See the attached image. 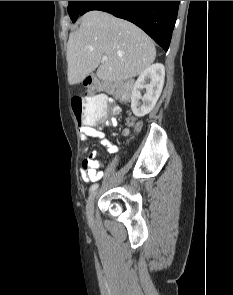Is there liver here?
Wrapping results in <instances>:
<instances>
[{"instance_id":"liver-1","label":"liver","mask_w":233,"mask_h":295,"mask_svg":"<svg viewBox=\"0 0 233 295\" xmlns=\"http://www.w3.org/2000/svg\"><path fill=\"white\" fill-rule=\"evenodd\" d=\"M108 60L103 61L102 56ZM151 38L140 28L109 13L93 10L81 18L67 44L68 82H82L97 69L105 82H119L141 74L155 60Z\"/></svg>"}]
</instances>
